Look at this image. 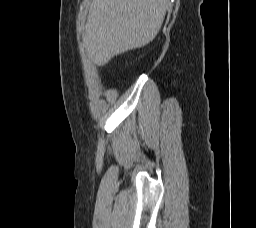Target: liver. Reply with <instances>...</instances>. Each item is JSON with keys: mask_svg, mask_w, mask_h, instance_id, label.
Segmentation results:
<instances>
[{"mask_svg": "<svg viewBox=\"0 0 256 228\" xmlns=\"http://www.w3.org/2000/svg\"><path fill=\"white\" fill-rule=\"evenodd\" d=\"M168 0H93L82 40L98 65L144 47L158 34Z\"/></svg>", "mask_w": 256, "mask_h": 228, "instance_id": "1", "label": "liver"}]
</instances>
